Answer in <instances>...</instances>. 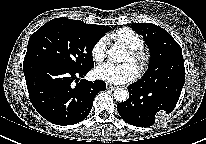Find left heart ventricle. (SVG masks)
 <instances>
[{
  "label": "left heart ventricle",
  "mask_w": 206,
  "mask_h": 144,
  "mask_svg": "<svg viewBox=\"0 0 206 144\" xmlns=\"http://www.w3.org/2000/svg\"><path fill=\"white\" fill-rule=\"evenodd\" d=\"M126 61H130V56H129V54H128L127 57H126Z\"/></svg>",
  "instance_id": "1"
}]
</instances>
